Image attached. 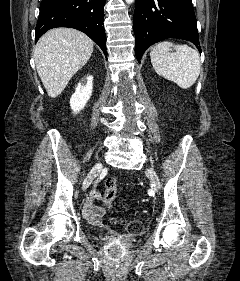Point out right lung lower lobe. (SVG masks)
Instances as JSON below:
<instances>
[{"label": "right lung lower lobe", "mask_w": 240, "mask_h": 281, "mask_svg": "<svg viewBox=\"0 0 240 281\" xmlns=\"http://www.w3.org/2000/svg\"><path fill=\"white\" fill-rule=\"evenodd\" d=\"M106 0H42L35 28V39L49 29L70 27L84 32L106 52V34L103 26Z\"/></svg>", "instance_id": "right-lung-lower-lobe-1"}]
</instances>
